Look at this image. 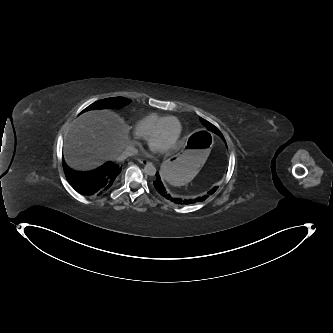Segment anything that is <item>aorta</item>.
Segmentation results:
<instances>
[{
  "instance_id": "aorta-1",
  "label": "aorta",
  "mask_w": 333,
  "mask_h": 333,
  "mask_svg": "<svg viewBox=\"0 0 333 333\" xmlns=\"http://www.w3.org/2000/svg\"><path fill=\"white\" fill-rule=\"evenodd\" d=\"M144 172L149 176H154L156 174V168L152 163H147Z\"/></svg>"
}]
</instances>
